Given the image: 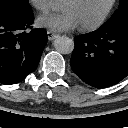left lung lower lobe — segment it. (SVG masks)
Here are the masks:
<instances>
[{"label":"left lung lower lobe","instance_id":"1","mask_svg":"<svg viewBox=\"0 0 128 128\" xmlns=\"http://www.w3.org/2000/svg\"><path fill=\"white\" fill-rule=\"evenodd\" d=\"M74 41L71 68L85 83L104 88L128 75V18L103 25Z\"/></svg>","mask_w":128,"mask_h":128}]
</instances>
